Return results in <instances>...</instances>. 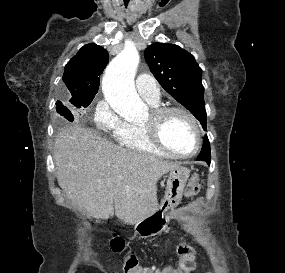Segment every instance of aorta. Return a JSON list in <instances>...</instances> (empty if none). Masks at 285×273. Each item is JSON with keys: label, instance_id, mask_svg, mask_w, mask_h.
Returning <instances> with one entry per match:
<instances>
[{"label": "aorta", "instance_id": "aorta-1", "mask_svg": "<svg viewBox=\"0 0 285 273\" xmlns=\"http://www.w3.org/2000/svg\"><path fill=\"white\" fill-rule=\"evenodd\" d=\"M139 59L135 47L124 48L107 66L102 79L105 99L118 114L128 119H138L147 113V106L134 87Z\"/></svg>", "mask_w": 285, "mask_h": 273}]
</instances>
